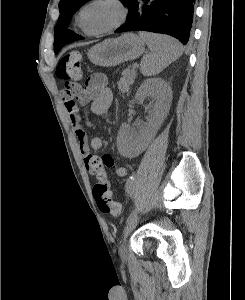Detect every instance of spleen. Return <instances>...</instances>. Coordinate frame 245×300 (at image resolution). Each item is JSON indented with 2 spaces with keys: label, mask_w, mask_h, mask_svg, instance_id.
Returning a JSON list of instances; mask_svg holds the SVG:
<instances>
[{
  "label": "spleen",
  "mask_w": 245,
  "mask_h": 300,
  "mask_svg": "<svg viewBox=\"0 0 245 300\" xmlns=\"http://www.w3.org/2000/svg\"><path fill=\"white\" fill-rule=\"evenodd\" d=\"M139 35L151 51L141 61L140 70L145 76L157 75L183 53L180 43L172 37L148 32Z\"/></svg>",
  "instance_id": "obj_1"
}]
</instances>
